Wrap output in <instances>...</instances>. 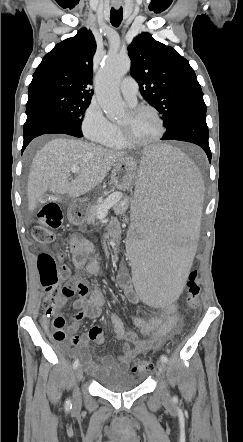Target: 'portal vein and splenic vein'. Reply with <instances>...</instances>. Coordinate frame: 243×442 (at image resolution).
<instances>
[{
  "instance_id": "1",
  "label": "portal vein and splenic vein",
  "mask_w": 243,
  "mask_h": 442,
  "mask_svg": "<svg viewBox=\"0 0 243 442\" xmlns=\"http://www.w3.org/2000/svg\"><path fill=\"white\" fill-rule=\"evenodd\" d=\"M72 173H79L80 168L78 166H74L71 169ZM122 198L121 193H115L109 196V198L98 208L97 210V218L102 219L105 218L108 214V211L111 207H113L117 202H119Z\"/></svg>"
}]
</instances>
